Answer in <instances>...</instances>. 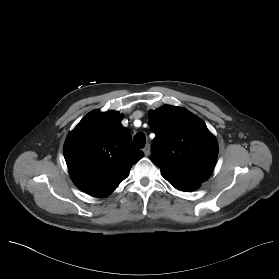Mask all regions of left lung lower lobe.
I'll return each mask as SVG.
<instances>
[{
	"mask_svg": "<svg viewBox=\"0 0 279 279\" xmlns=\"http://www.w3.org/2000/svg\"><path fill=\"white\" fill-rule=\"evenodd\" d=\"M162 176L176 189L184 192H190L197 189L201 183L181 179L169 174L162 173Z\"/></svg>",
	"mask_w": 279,
	"mask_h": 279,
	"instance_id": "0a47b994",
	"label": "left lung lower lobe"
}]
</instances>
